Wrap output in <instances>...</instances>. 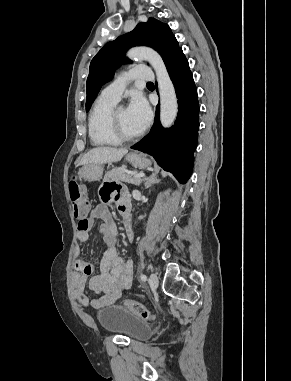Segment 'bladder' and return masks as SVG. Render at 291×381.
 Wrapping results in <instances>:
<instances>
[{
	"instance_id": "31cf9c89",
	"label": "bladder",
	"mask_w": 291,
	"mask_h": 381,
	"mask_svg": "<svg viewBox=\"0 0 291 381\" xmlns=\"http://www.w3.org/2000/svg\"><path fill=\"white\" fill-rule=\"evenodd\" d=\"M96 317L105 331L126 336L130 340H145L151 335V327L145 320L117 305L100 309Z\"/></svg>"
}]
</instances>
